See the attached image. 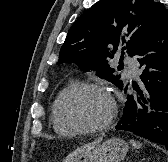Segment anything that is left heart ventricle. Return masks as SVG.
<instances>
[{
	"instance_id": "left-heart-ventricle-1",
	"label": "left heart ventricle",
	"mask_w": 168,
	"mask_h": 162,
	"mask_svg": "<svg viewBox=\"0 0 168 162\" xmlns=\"http://www.w3.org/2000/svg\"><path fill=\"white\" fill-rule=\"evenodd\" d=\"M66 113L84 125H98L110 115L112 104L103 93L85 89L71 95L66 102Z\"/></svg>"
}]
</instances>
